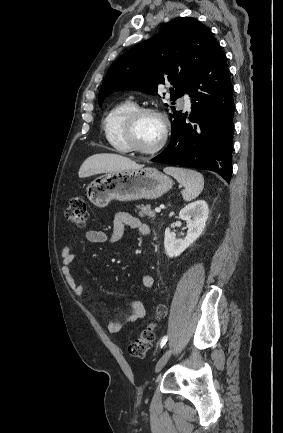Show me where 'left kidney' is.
I'll list each match as a JSON object with an SVG mask.
<instances>
[{
	"instance_id": "left-kidney-1",
	"label": "left kidney",
	"mask_w": 283,
	"mask_h": 433,
	"mask_svg": "<svg viewBox=\"0 0 283 433\" xmlns=\"http://www.w3.org/2000/svg\"><path fill=\"white\" fill-rule=\"evenodd\" d=\"M208 213V205L204 200H197L181 209L179 218L187 223V235L184 239H176L170 229L166 228L164 247L168 257L179 256L200 237L205 228Z\"/></svg>"
}]
</instances>
